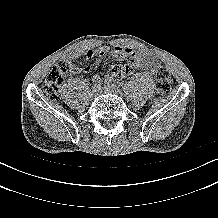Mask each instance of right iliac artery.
<instances>
[{"mask_svg": "<svg viewBox=\"0 0 218 218\" xmlns=\"http://www.w3.org/2000/svg\"><path fill=\"white\" fill-rule=\"evenodd\" d=\"M93 86H92V89L93 90H96V89H100L101 88V85H102V80L100 79H94L93 80Z\"/></svg>", "mask_w": 218, "mask_h": 218, "instance_id": "82829eb1", "label": "right iliac artery"}]
</instances>
